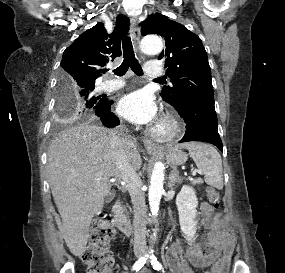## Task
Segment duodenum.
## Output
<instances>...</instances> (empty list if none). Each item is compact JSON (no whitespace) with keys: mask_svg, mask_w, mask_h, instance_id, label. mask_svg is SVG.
<instances>
[{"mask_svg":"<svg viewBox=\"0 0 285 273\" xmlns=\"http://www.w3.org/2000/svg\"><path fill=\"white\" fill-rule=\"evenodd\" d=\"M114 212L116 214L115 225L122 231L125 235H130L132 232V226L130 220L124 214L123 206L120 202H117L114 206Z\"/></svg>","mask_w":285,"mask_h":273,"instance_id":"1","label":"duodenum"}]
</instances>
